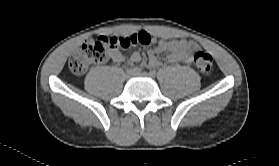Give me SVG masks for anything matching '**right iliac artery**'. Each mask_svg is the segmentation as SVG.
Segmentation results:
<instances>
[{
  "mask_svg": "<svg viewBox=\"0 0 279 166\" xmlns=\"http://www.w3.org/2000/svg\"><path fill=\"white\" fill-rule=\"evenodd\" d=\"M135 73H140L141 72V69L139 68V67H134L133 69H132Z\"/></svg>",
  "mask_w": 279,
  "mask_h": 166,
  "instance_id": "82829eb1",
  "label": "right iliac artery"
}]
</instances>
